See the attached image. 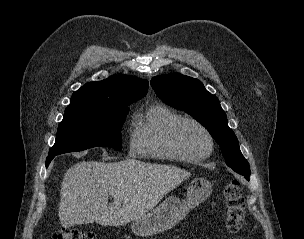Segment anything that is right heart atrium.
<instances>
[{
	"label": "right heart atrium",
	"mask_w": 304,
	"mask_h": 239,
	"mask_svg": "<svg viewBox=\"0 0 304 239\" xmlns=\"http://www.w3.org/2000/svg\"><path fill=\"white\" fill-rule=\"evenodd\" d=\"M128 145L131 152H137L139 150L140 141L135 128L130 130Z\"/></svg>",
	"instance_id": "right-heart-atrium-1"
}]
</instances>
